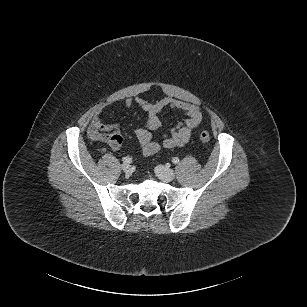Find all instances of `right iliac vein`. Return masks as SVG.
I'll return each mask as SVG.
<instances>
[{
	"label": "right iliac vein",
	"mask_w": 307,
	"mask_h": 307,
	"mask_svg": "<svg viewBox=\"0 0 307 307\" xmlns=\"http://www.w3.org/2000/svg\"><path fill=\"white\" fill-rule=\"evenodd\" d=\"M121 168H122V170L125 173H130L131 172V166L128 163H123Z\"/></svg>",
	"instance_id": "right-iliac-vein-1"
}]
</instances>
